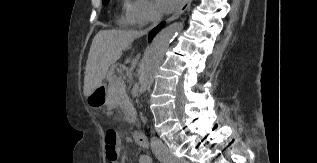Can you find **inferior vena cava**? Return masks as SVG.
<instances>
[{
	"label": "inferior vena cava",
	"instance_id": "obj_1",
	"mask_svg": "<svg viewBox=\"0 0 317 163\" xmlns=\"http://www.w3.org/2000/svg\"><path fill=\"white\" fill-rule=\"evenodd\" d=\"M160 20H161V15L157 12H153L151 15V21L153 22L152 26L150 28H148L147 30H144L140 33L146 34L153 26L157 25V23ZM150 145H151L152 151L154 152L156 157H158L159 159H163L164 157L169 155V151H168L167 147L159 139L152 138Z\"/></svg>",
	"mask_w": 317,
	"mask_h": 163
}]
</instances>
